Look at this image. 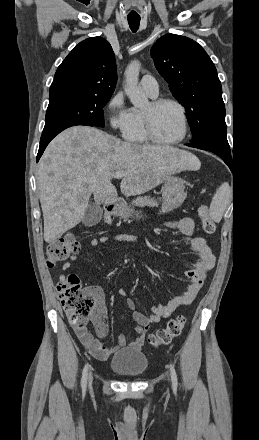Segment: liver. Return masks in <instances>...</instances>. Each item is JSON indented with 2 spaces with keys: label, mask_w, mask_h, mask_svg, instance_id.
I'll return each mask as SVG.
<instances>
[{
  "label": "liver",
  "mask_w": 259,
  "mask_h": 440,
  "mask_svg": "<svg viewBox=\"0 0 259 440\" xmlns=\"http://www.w3.org/2000/svg\"><path fill=\"white\" fill-rule=\"evenodd\" d=\"M200 165L192 153L171 146L133 144L89 126L68 128L51 141L38 164L44 240L53 243L79 224L92 194L97 204L116 201L111 183L116 172L124 173L120 189L129 197Z\"/></svg>",
  "instance_id": "obj_1"
}]
</instances>
